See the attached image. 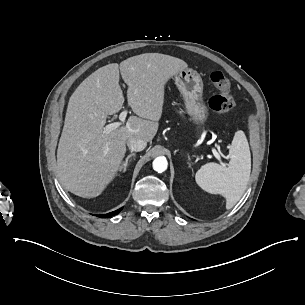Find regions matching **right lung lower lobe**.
<instances>
[{
  "label": "right lung lower lobe",
  "instance_id": "1",
  "mask_svg": "<svg viewBox=\"0 0 305 305\" xmlns=\"http://www.w3.org/2000/svg\"><path fill=\"white\" fill-rule=\"evenodd\" d=\"M121 210H122V208H120V209H118L116 211H113L111 213L105 214V215H99V217H110V216L118 214Z\"/></svg>",
  "mask_w": 305,
  "mask_h": 305
}]
</instances>
